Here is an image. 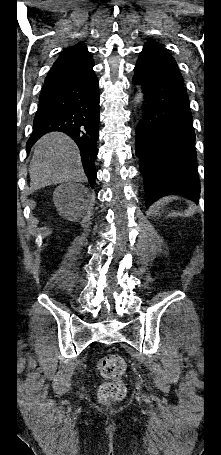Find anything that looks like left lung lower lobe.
I'll return each mask as SVG.
<instances>
[{
	"label": "left lung lower lobe",
	"instance_id": "0a47b994",
	"mask_svg": "<svg viewBox=\"0 0 221 455\" xmlns=\"http://www.w3.org/2000/svg\"><path fill=\"white\" fill-rule=\"evenodd\" d=\"M134 71L132 80L144 94L135 153L144 178L146 206L172 194L198 202L200 182L188 94L183 84L161 72L137 65Z\"/></svg>",
	"mask_w": 221,
	"mask_h": 455
}]
</instances>
